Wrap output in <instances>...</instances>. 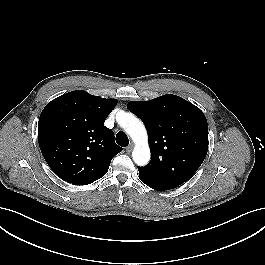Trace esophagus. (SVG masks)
I'll return each instance as SVG.
<instances>
[{
    "instance_id": "esophagus-1",
    "label": "esophagus",
    "mask_w": 265,
    "mask_h": 265,
    "mask_svg": "<svg viewBox=\"0 0 265 265\" xmlns=\"http://www.w3.org/2000/svg\"><path fill=\"white\" fill-rule=\"evenodd\" d=\"M132 149H133V144L131 143V144L126 148V152L129 154V153H131Z\"/></svg>"
}]
</instances>
